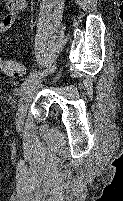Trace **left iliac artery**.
<instances>
[{
    "label": "left iliac artery",
    "instance_id": "obj_1",
    "mask_svg": "<svg viewBox=\"0 0 123 201\" xmlns=\"http://www.w3.org/2000/svg\"><path fill=\"white\" fill-rule=\"evenodd\" d=\"M56 69V65H53L52 67L43 70V71H33L31 72L27 78L24 80V82L20 86V94L28 87V85L39 76L47 75L50 72H53Z\"/></svg>",
    "mask_w": 123,
    "mask_h": 201
}]
</instances>
